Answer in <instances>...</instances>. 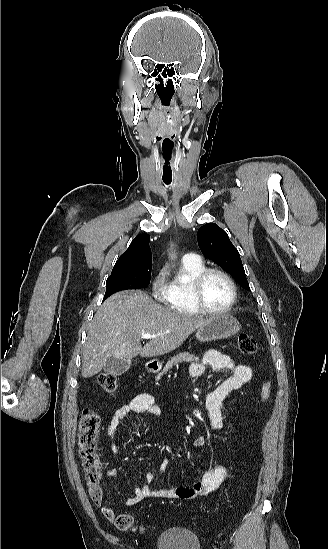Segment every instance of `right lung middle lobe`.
Returning a JSON list of instances; mask_svg holds the SVG:
<instances>
[{
	"label": "right lung middle lobe",
	"mask_w": 328,
	"mask_h": 549,
	"mask_svg": "<svg viewBox=\"0 0 328 549\" xmlns=\"http://www.w3.org/2000/svg\"><path fill=\"white\" fill-rule=\"evenodd\" d=\"M151 269L152 259L140 261L112 271L106 281V293L103 300L120 290L137 289L147 286L150 283Z\"/></svg>",
	"instance_id": "obj_1"
}]
</instances>
